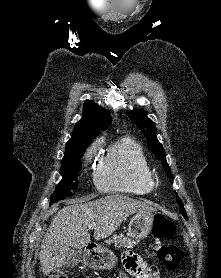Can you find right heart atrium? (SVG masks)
Instances as JSON below:
<instances>
[{"label": "right heart atrium", "mask_w": 221, "mask_h": 278, "mask_svg": "<svg viewBox=\"0 0 221 278\" xmlns=\"http://www.w3.org/2000/svg\"><path fill=\"white\" fill-rule=\"evenodd\" d=\"M99 148V142H94L87 150L85 158L87 162H90L92 158L96 155Z\"/></svg>", "instance_id": "d8ad5b80"}]
</instances>
